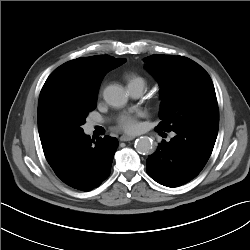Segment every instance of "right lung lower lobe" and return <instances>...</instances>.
<instances>
[{
	"instance_id": "obj_1",
	"label": "right lung lower lobe",
	"mask_w": 250,
	"mask_h": 250,
	"mask_svg": "<svg viewBox=\"0 0 250 250\" xmlns=\"http://www.w3.org/2000/svg\"><path fill=\"white\" fill-rule=\"evenodd\" d=\"M117 147L114 137L95 140L84 132L42 144L45 158L57 177L82 191H91L109 176Z\"/></svg>"
}]
</instances>
